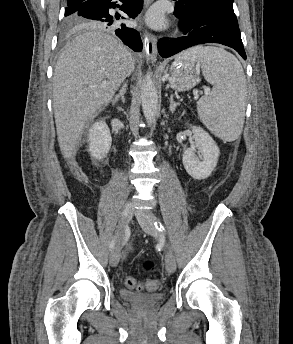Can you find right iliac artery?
I'll use <instances>...</instances> for the list:
<instances>
[{"label":"right iliac artery","mask_w":293,"mask_h":344,"mask_svg":"<svg viewBox=\"0 0 293 344\" xmlns=\"http://www.w3.org/2000/svg\"><path fill=\"white\" fill-rule=\"evenodd\" d=\"M115 243H116V237H114L110 243V246H109L110 250H112L114 248Z\"/></svg>","instance_id":"82829eb1"}]
</instances>
